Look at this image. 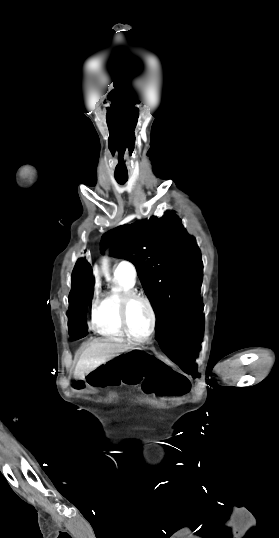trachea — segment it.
Returning <instances> with one entry per match:
<instances>
[{"instance_id":"1","label":"trachea","mask_w":279,"mask_h":538,"mask_svg":"<svg viewBox=\"0 0 279 538\" xmlns=\"http://www.w3.org/2000/svg\"><path fill=\"white\" fill-rule=\"evenodd\" d=\"M115 179H116V181H117L120 185H124V183L127 182L128 177H118V176H115Z\"/></svg>"}]
</instances>
